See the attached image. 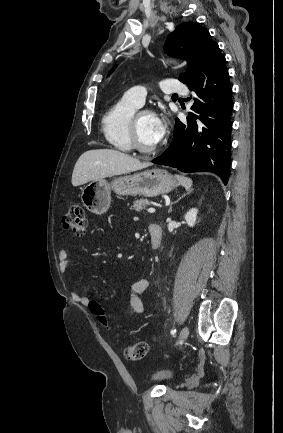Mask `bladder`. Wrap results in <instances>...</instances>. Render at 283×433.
<instances>
[{
    "label": "bladder",
    "mask_w": 283,
    "mask_h": 433,
    "mask_svg": "<svg viewBox=\"0 0 283 433\" xmlns=\"http://www.w3.org/2000/svg\"><path fill=\"white\" fill-rule=\"evenodd\" d=\"M171 377H172V376H171V374L169 373V371H166V370H160V371H157V372L154 373L153 376H152L153 380H155V381L162 380V379L170 380Z\"/></svg>",
    "instance_id": "obj_1"
}]
</instances>
